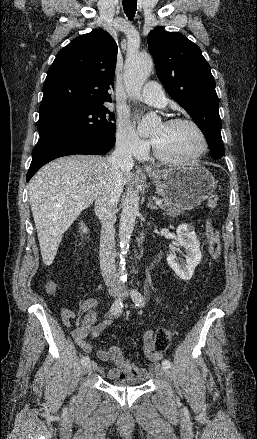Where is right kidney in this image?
Returning a JSON list of instances; mask_svg holds the SVG:
<instances>
[{
  "label": "right kidney",
  "instance_id": "obj_1",
  "mask_svg": "<svg viewBox=\"0 0 257 439\" xmlns=\"http://www.w3.org/2000/svg\"><path fill=\"white\" fill-rule=\"evenodd\" d=\"M80 229L82 233H87L88 231L86 226L83 224V222L80 223Z\"/></svg>",
  "mask_w": 257,
  "mask_h": 439
}]
</instances>
